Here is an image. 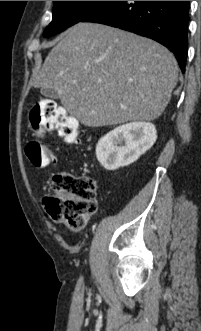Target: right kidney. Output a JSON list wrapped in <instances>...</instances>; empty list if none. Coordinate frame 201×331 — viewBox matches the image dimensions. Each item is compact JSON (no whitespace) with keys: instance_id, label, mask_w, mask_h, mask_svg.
I'll use <instances>...</instances> for the list:
<instances>
[{"instance_id":"1","label":"right kidney","mask_w":201,"mask_h":331,"mask_svg":"<svg viewBox=\"0 0 201 331\" xmlns=\"http://www.w3.org/2000/svg\"><path fill=\"white\" fill-rule=\"evenodd\" d=\"M157 139L152 123L131 122L108 132L96 146V157L110 171L128 166L149 150Z\"/></svg>"}]
</instances>
